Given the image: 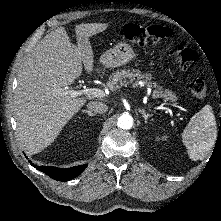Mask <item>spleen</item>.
I'll return each mask as SVG.
<instances>
[{"mask_svg": "<svg viewBox=\"0 0 221 221\" xmlns=\"http://www.w3.org/2000/svg\"><path fill=\"white\" fill-rule=\"evenodd\" d=\"M217 138V125L210 105L204 106L189 121L182 133V142L190 159L202 160L212 150Z\"/></svg>", "mask_w": 221, "mask_h": 221, "instance_id": "1", "label": "spleen"}]
</instances>
